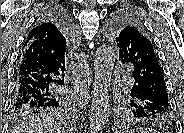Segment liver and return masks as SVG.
Masks as SVG:
<instances>
[{
	"label": "liver",
	"instance_id": "obj_1",
	"mask_svg": "<svg viewBox=\"0 0 184 133\" xmlns=\"http://www.w3.org/2000/svg\"><path fill=\"white\" fill-rule=\"evenodd\" d=\"M9 131L10 133H64L61 125L45 114L29 116Z\"/></svg>",
	"mask_w": 184,
	"mask_h": 133
}]
</instances>
